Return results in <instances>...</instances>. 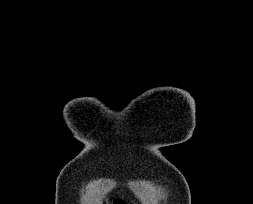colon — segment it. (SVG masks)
<instances>
[{
  "label": "colon",
  "mask_w": 253,
  "mask_h": 204,
  "mask_svg": "<svg viewBox=\"0 0 253 204\" xmlns=\"http://www.w3.org/2000/svg\"><path fill=\"white\" fill-rule=\"evenodd\" d=\"M113 204H122L120 200H114Z\"/></svg>",
  "instance_id": "colon-1"
}]
</instances>
